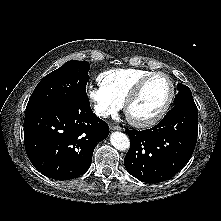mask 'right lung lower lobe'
I'll return each instance as SVG.
<instances>
[{"instance_id": "1", "label": "right lung lower lobe", "mask_w": 221, "mask_h": 221, "mask_svg": "<svg viewBox=\"0 0 221 221\" xmlns=\"http://www.w3.org/2000/svg\"><path fill=\"white\" fill-rule=\"evenodd\" d=\"M108 134V124L93 114L90 103L76 109L49 106L25 112L26 153L50 178L68 180L85 173L95 146Z\"/></svg>"}]
</instances>
